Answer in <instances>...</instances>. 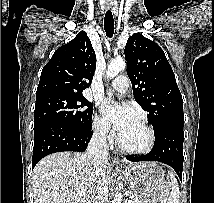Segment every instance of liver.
Returning <instances> with one entry per match:
<instances>
[{"label": "liver", "instance_id": "obj_1", "mask_svg": "<svg viewBox=\"0 0 214 203\" xmlns=\"http://www.w3.org/2000/svg\"><path fill=\"white\" fill-rule=\"evenodd\" d=\"M104 169L109 186L111 167L107 164ZM92 172L85 154L57 152L43 158L32 174L34 203H89L95 185Z\"/></svg>", "mask_w": 214, "mask_h": 203}]
</instances>
